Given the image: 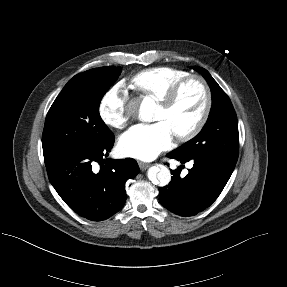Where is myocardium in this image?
I'll list each match as a JSON object with an SVG mask.
<instances>
[{
  "label": "myocardium",
  "instance_id": "obj_1",
  "mask_svg": "<svg viewBox=\"0 0 287 287\" xmlns=\"http://www.w3.org/2000/svg\"><path fill=\"white\" fill-rule=\"evenodd\" d=\"M198 82L204 92L205 95V103H204V108L202 111V114L198 121L192 126L189 130L179 133L175 135V138L178 141L185 142L188 141L192 138H194L197 134L200 133V131L204 128L206 125L211 109H212V103H213V98H212V92L211 89L206 82V80L199 76V75H188L187 77L181 79L179 82H177L169 91L168 93L159 100V106L163 108L165 111L171 110L175 104L177 103L183 89L191 82Z\"/></svg>",
  "mask_w": 287,
  "mask_h": 287
}]
</instances>
